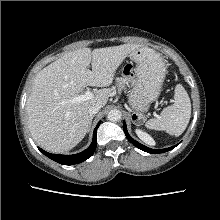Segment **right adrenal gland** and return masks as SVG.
Masks as SVG:
<instances>
[{
  "label": "right adrenal gland",
  "mask_w": 220,
  "mask_h": 220,
  "mask_svg": "<svg viewBox=\"0 0 220 220\" xmlns=\"http://www.w3.org/2000/svg\"><path fill=\"white\" fill-rule=\"evenodd\" d=\"M93 117H94V115L91 117V122H92V119H93ZM91 127V123H90V126H89V128ZM88 131H89V129H88Z\"/></svg>",
  "instance_id": "1"
}]
</instances>
